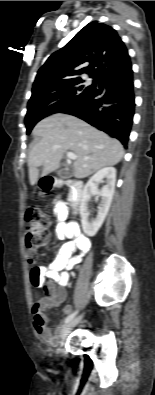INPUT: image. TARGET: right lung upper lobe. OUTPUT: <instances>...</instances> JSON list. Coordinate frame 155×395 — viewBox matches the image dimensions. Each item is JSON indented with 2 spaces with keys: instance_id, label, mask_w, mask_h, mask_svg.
Here are the masks:
<instances>
[{
  "instance_id": "cb5924a9",
  "label": "right lung upper lobe",
  "mask_w": 155,
  "mask_h": 395,
  "mask_svg": "<svg viewBox=\"0 0 155 395\" xmlns=\"http://www.w3.org/2000/svg\"><path fill=\"white\" fill-rule=\"evenodd\" d=\"M131 65L128 50L116 30L94 21L47 59L37 73L32 95L53 84L81 79L85 73L99 81L107 73Z\"/></svg>"
}]
</instances>
